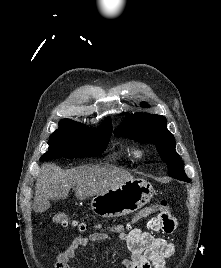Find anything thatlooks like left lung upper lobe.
Segmentation results:
<instances>
[{
	"label": "left lung upper lobe",
	"mask_w": 221,
	"mask_h": 268,
	"mask_svg": "<svg viewBox=\"0 0 221 268\" xmlns=\"http://www.w3.org/2000/svg\"><path fill=\"white\" fill-rule=\"evenodd\" d=\"M142 106L148 107L145 102ZM166 126L167 120L164 116L136 113L130 115L114 133L120 137L157 145L161 159L168 165V175L189 182L190 179L185 175L181 158L175 150L174 136Z\"/></svg>",
	"instance_id": "obj_1"
}]
</instances>
